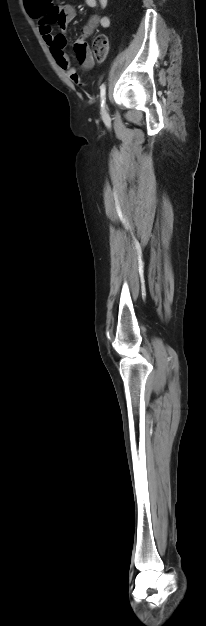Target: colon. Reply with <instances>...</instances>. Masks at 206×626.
I'll return each mask as SVG.
<instances>
[{"instance_id":"5ec220e1","label":"colon","mask_w":206,"mask_h":626,"mask_svg":"<svg viewBox=\"0 0 206 626\" xmlns=\"http://www.w3.org/2000/svg\"><path fill=\"white\" fill-rule=\"evenodd\" d=\"M109 52V43L105 35H98L92 45V55L97 61H103Z\"/></svg>"}]
</instances>
